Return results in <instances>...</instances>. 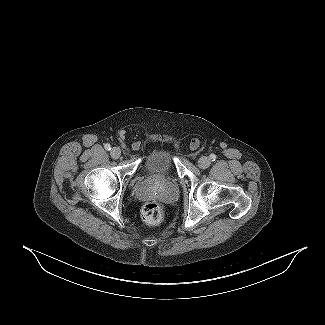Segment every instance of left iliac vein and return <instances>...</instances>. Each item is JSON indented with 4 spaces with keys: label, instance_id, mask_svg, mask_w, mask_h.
<instances>
[{
    "label": "left iliac vein",
    "instance_id": "1",
    "mask_svg": "<svg viewBox=\"0 0 325 325\" xmlns=\"http://www.w3.org/2000/svg\"><path fill=\"white\" fill-rule=\"evenodd\" d=\"M210 159L206 156H202L199 160H198V166L201 168V169H206L210 166Z\"/></svg>",
    "mask_w": 325,
    "mask_h": 325
}]
</instances>
